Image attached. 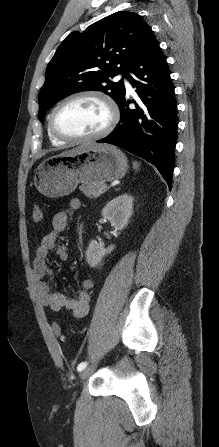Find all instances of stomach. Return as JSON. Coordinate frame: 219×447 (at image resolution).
Listing matches in <instances>:
<instances>
[{
  "label": "stomach",
  "instance_id": "obj_1",
  "mask_svg": "<svg viewBox=\"0 0 219 447\" xmlns=\"http://www.w3.org/2000/svg\"><path fill=\"white\" fill-rule=\"evenodd\" d=\"M128 168L127 158L116 147L92 144L73 155H54L36 169L37 190L51 198L72 193L78 183L98 184L122 178Z\"/></svg>",
  "mask_w": 219,
  "mask_h": 447
}]
</instances>
